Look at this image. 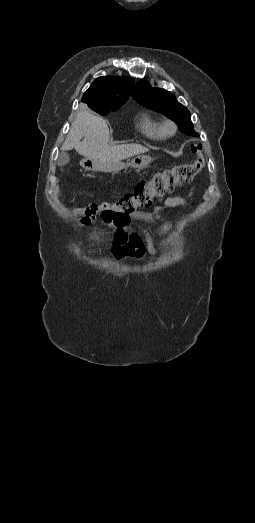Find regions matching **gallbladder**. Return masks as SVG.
<instances>
[{"label":"gallbladder","mask_w":255,"mask_h":523,"mask_svg":"<svg viewBox=\"0 0 255 523\" xmlns=\"http://www.w3.org/2000/svg\"><path fill=\"white\" fill-rule=\"evenodd\" d=\"M69 160V154L62 150V152H59V156L57 158V166H65V164H68Z\"/></svg>","instance_id":"obj_1"}]
</instances>
